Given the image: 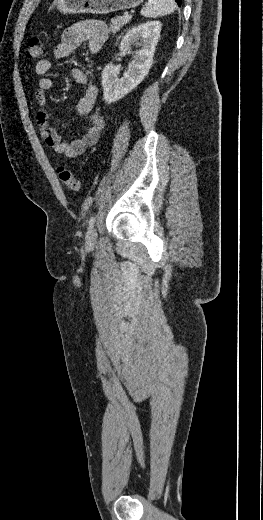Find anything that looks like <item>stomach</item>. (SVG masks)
I'll return each mask as SVG.
<instances>
[{
  "instance_id": "0dacf381",
  "label": "stomach",
  "mask_w": 263,
  "mask_h": 520,
  "mask_svg": "<svg viewBox=\"0 0 263 520\" xmlns=\"http://www.w3.org/2000/svg\"><path fill=\"white\" fill-rule=\"evenodd\" d=\"M143 0H55L54 5L63 14H107L135 8Z\"/></svg>"
}]
</instances>
